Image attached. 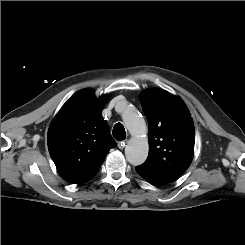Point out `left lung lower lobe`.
Instances as JSON below:
<instances>
[{"label": "left lung lower lobe", "instance_id": "left-lung-lower-lobe-1", "mask_svg": "<svg viewBox=\"0 0 245 245\" xmlns=\"http://www.w3.org/2000/svg\"><path fill=\"white\" fill-rule=\"evenodd\" d=\"M136 171L142 178H144L145 180L149 181L152 184L166 185L174 181V180L162 178V177H159L153 174H149L145 171L140 170L138 167H136Z\"/></svg>", "mask_w": 245, "mask_h": 245}]
</instances>
